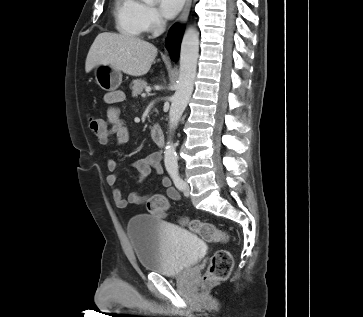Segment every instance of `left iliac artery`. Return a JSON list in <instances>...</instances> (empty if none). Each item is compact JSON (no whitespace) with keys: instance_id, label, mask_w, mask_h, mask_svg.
I'll return each instance as SVG.
<instances>
[{"instance_id":"obj_1","label":"left iliac artery","mask_w":363,"mask_h":317,"mask_svg":"<svg viewBox=\"0 0 363 317\" xmlns=\"http://www.w3.org/2000/svg\"><path fill=\"white\" fill-rule=\"evenodd\" d=\"M175 186L179 189V190H183L184 188V181L181 179L179 172L177 170H172L169 172Z\"/></svg>"}]
</instances>
